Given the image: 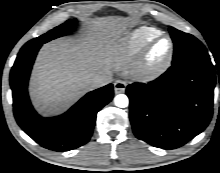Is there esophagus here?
Wrapping results in <instances>:
<instances>
[{
    "label": "esophagus",
    "mask_w": 220,
    "mask_h": 173,
    "mask_svg": "<svg viewBox=\"0 0 220 173\" xmlns=\"http://www.w3.org/2000/svg\"><path fill=\"white\" fill-rule=\"evenodd\" d=\"M126 82L125 81H122V80H117L115 83H114V91L116 94H120V93H124L125 90H126Z\"/></svg>",
    "instance_id": "esophagus-1"
}]
</instances>
